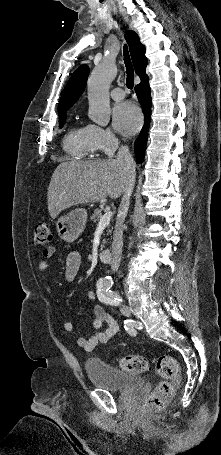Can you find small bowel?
Listing matches in <instances>:
<instances>
[{
	"instance_id": "small-bowel-1",
	"label": "small bowel",
	"mask_w": 221,
	"mask_h": 455,
	"mask_svg": "<svg viewBox=\"0 0 221 455\" xmlns=\"http://www.w3.org/2000/svg\"><path fill=\"white\" fill-rule=\"evenodd\" d=\"M56 252L55 247H49L42 251L41 257L37 262L36 271L38 274L42 275L46 271L48 267V261L51 257L54 256ZM81 267V256L77 252H72L68 255L66 259V266H65V276L68 280H73L77 275L79 269ZM46 287L48 290H51V287L48 283H46ZM87 297L89 300L93 301L95 299V293L93 291H89L87 293ZM94 321L92 323V328L94 330V334L90 337H79L77 339V344L79 347L83 348L87 352L93 351L99 344L107 343L112 337L116 335L119 330V325L114 317L109 314L106 310H104L100 306L94 307ZM106 325V329L101 331V327ZM75 328L73 322H65L63 325V329L65 332H72Z\"/></svg>"
}]
</instances>
